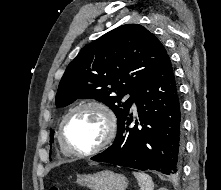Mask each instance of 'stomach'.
Masks as SVG:
<instances>
[{"instance_id":"1","label":"stomach","mask_w":221,"mask_h":190,"mask_svg":"<svg viewBox=\"0 0 221 190\" xmlns=\"http://www.w3.org/2000/svg\"><path fill=\"white\" fill-rule=\"evenodd\" d=\"M76 183L91 190H125L128 179L122 174L104 170L94 174L77 175Z\"/></svg>"}]
</instances>
